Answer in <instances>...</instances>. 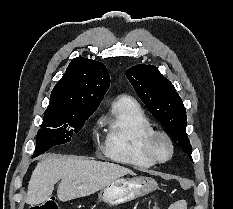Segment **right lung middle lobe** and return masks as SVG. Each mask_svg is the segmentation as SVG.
Instances as JSON below:
<instances>
[{
	"instance_id": "dd1d6c3e",
	"label": "right lung middle lobe",
	"mask_w": 233,
	"mask_h": 209,
	"mask_svg": "<svg viewBox=\"0 0 233 209\" xmlns=\"http://www.w3.org/2000/svg\"><path fill=\"white\" fill-rule=\"evenodd\" d=\"M96 109L97 107H80L61 114L44 115L33 157L53 146L69 142Z\"/></svg>"
}]
</instances>
